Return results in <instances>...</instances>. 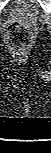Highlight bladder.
Listing matches in <instances>:
<instances>
[{"mask_svg": "<svg viewBox=\"0 0 51 153\" xmlns=\"http://www.w3.org/2000/svg\"><path fill=\"white\" fill-rule=\"evenodd\" d=\"M10 11L12 15L26 20H36L40 16V9L32 0H17Z\"/></svg>", "mask_w": 51, "mask_h": 153, "instance_id": "obj_1", "label": "bladder"}]
</instances>
